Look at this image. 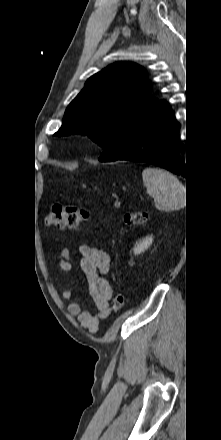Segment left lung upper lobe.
Segmentation results:
<instances>
[{
    "label": "left lung upper lobe",
    "instance_id": "1",
    "mask_svg": "<svg viewBox=\"0 0 221 440\" xmlns=\"http://www.w3.org/2000/svg\"><path fill=\"white\" fill-rule=\"evenodd\" d=\"M151 88L141 66L114 63L87 80L54 135H88L104 149L100 161H115L125 153L135 125L158 101L149 95Z\"/></svg>",
    "mask_w": 221,
    "mask_h": 440
}]
</instances>
